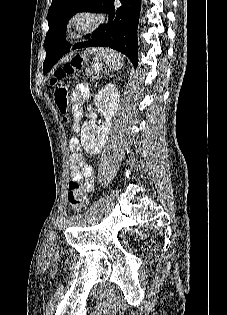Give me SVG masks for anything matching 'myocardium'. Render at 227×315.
<instances>
[{
	"instance_id": "myocardium-1",
	"label": "myocardium",
	"mask_w": 227,
	"mask_h": 315,
	"mask_svg": "<svg viewBox=\"0 0 227 315\" xmlns=\"http://www.w3.org/2000/svg\"><path fill=\"white\" fill-rule=\"evenodd\" d=\"M101 23L100 15L93 10L73 12L65 23V39L75 41L95 31Z\"/></svg>"
}]
</instances>
